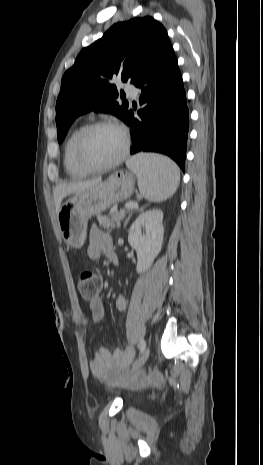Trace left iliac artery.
<instances>
[{"label":"left iliac artery","mask_w":263,"mask_h":465,"mask_svg":"<svg viewBox=\"0 0 263 465\" xmlns=\"http://www.w3.org/2000/svg\"><path fill=\"white\" fill-rule=\"evenodd\" d=\"M145 347H146V341L144 339H140V343H139L140 353H142L145 350Z\"/></svg>","instance_id":"obj_1"}]
</instances>
